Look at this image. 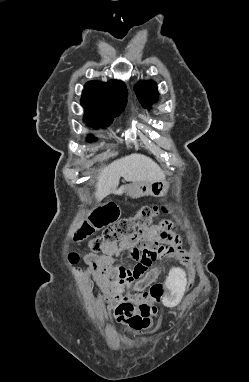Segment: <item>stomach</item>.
I'll return each mask as SVG.
<instances>
[{
    "label": "stomach",
    "mask_w": 249,
    "mask_h": 382,
    "mask_svg": "<svg viewBox=\"0 0 249 382\" xmlns=\"http://www.w3.org/2000/svg\"><path fill=\"white\" fill-rule=\"evenodd\" d=\"M168 191V184L162 181H154L152 183H136L125 185L116 190V194H127L132 198H140L145 196L162 197Z\"/></svg>",
    "instance_id": "stomach-1"
}]
</instances>
